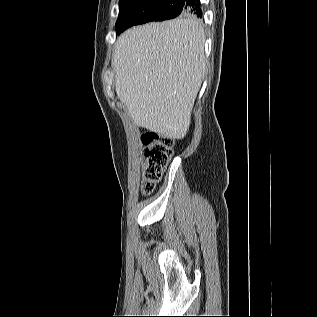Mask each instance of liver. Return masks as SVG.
<instances>
[{"label":"liver","instance_id":"6515ba94","mask_svg":"<svg viewBox=\"0 0 317 317\" xmlns=\"http://www.w3.org/2000/svg\"><path fill=\"white\" fill-rule=\"evenodd\" d=\"M200 21L177 18L128 29L113 53L115 88L134 123L171 139L186 136L206 72Z\"/></svg>","mask_w":317,"mask_h":317}]
</instances>
